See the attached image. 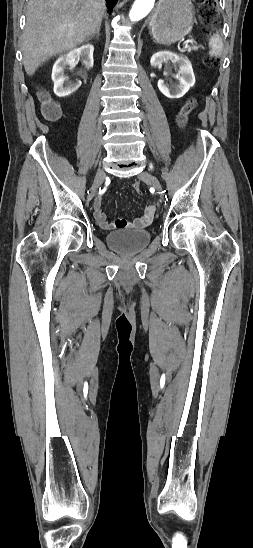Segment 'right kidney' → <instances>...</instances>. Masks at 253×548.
<instances>
[{
  "label": "right kidney",
  "instance_id": "obj_1",
  "mask_svg": "<svg viewBox=\"0 0 253 548\" xmlns=\"http://www.w3.org/2000/svg\"><path fill=\"white\" fill-rule=\"evenodd\" d=\"M93 51V45L85 44L61 55L56 60L52 69V80L54 82V93L58 97L69 96L81 85L80 81L68 82L64 75V69L68 66L74 67L80 59H82L87 68H92L94 63Z\"/></svg>",
  "mask_w": 253,
  "mask_h": 548
}]
</instances>
